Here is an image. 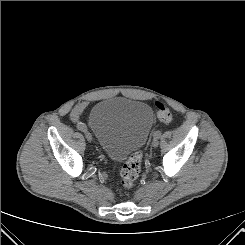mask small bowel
<instances>
[{"label": "small bowel", "instance_id": "c3829d8e", "mask_svg": "<svg viewBox=\"0 0 245 245\" xmlns=\"http://www.w3.org/2000/svg\"><path fill=\"white\" fill-rule=\"evenodd\" d=\"M86 108L85 102L78 103L72 110L70 114V118L73 122H77L81 116V114L84 112Z\"/></svg>", "mask_w": 245, "mask_h": 245}]
</instances>
